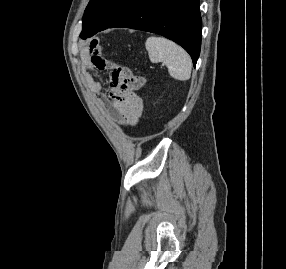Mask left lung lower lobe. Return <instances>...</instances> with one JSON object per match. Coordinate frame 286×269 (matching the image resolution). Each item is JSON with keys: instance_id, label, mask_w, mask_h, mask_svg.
Wrapping results in <instances>:
<instances>
[{"instance_id": "left-lung-lower-lobe-1", "label": "left lung lower lobe", "mask_w": 286, "mask_h": 269, "mask_svg": "<svg viewBox=\"0 0 286 269\" xmlns=\"http://www.w3.org/2000/svg\"><path fill=\"white\" fill-rule=\"evenodd\" d=\"M114 27L144 30L167 37L187 50L196 65L201 47L199 0H142L104 29Z\"/></svg>"}]
</instances>
